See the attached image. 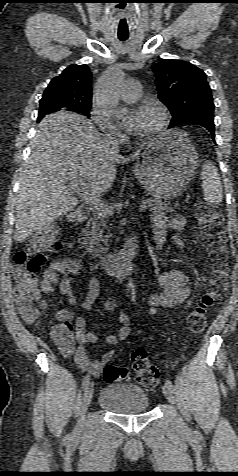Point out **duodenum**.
<instances>
[{"label": "duodenum", "instance_id": "obj_1", "mask_svg": "<svg viewBox=\"0 0 238 476\" xmlns=\"http://www.w3.org/2000/svg\"><path fill=\"white\" fill-rule=\"evenodd\" d=\"M88 217L89 213L81 210L74 215L73 221L81 223L86 221ZM138 248L139 240L134 236L127 241L119 252L100 257L99 262L103 271L110 276H120L131 271L133 268L132 259Z\"/></svg>", "mask_w": 238, "mask_h": 476}]
</instances>
